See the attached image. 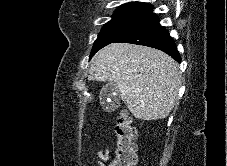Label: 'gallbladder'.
I'll list each match as a JSON object with an SVG mask.
<instances>
[{"instance_id":"1","label":"gallbladder","mask_w":227,"mask_h":166,"mask_svg":"<svg viewBox=\"0 0 227 166\" xmlns=\"http://www.w3.org/2000/svg\"><path fill=\"white\" fill-rule=\"evenodd\" d=\"M119 103V92L113 82L104 85L100 91V104L103 109L112 111L117 108Z\"/></svg>"}]
</instances>
